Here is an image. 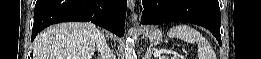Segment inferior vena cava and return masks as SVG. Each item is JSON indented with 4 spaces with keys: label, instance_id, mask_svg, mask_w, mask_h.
I'll return each instance as SVG.
<instances>
[{
    "label": "inferior vena cava",
    "instance_id": "obj_1",
    "mask_svg": "<svg viewBox=\"0 0 261 59\" xmlns=\"http://www.w3.org/2000/svg\"><path fill=\"white\" fill-rule=\"evenodd\" d=\"M94 38L98 52L100 53V59H115L113 52L106 43L104 35L99 30L95 31Z\"/></svg>",
    "mask_w": 261,
    "mask_h": 59
}]
</instances>
